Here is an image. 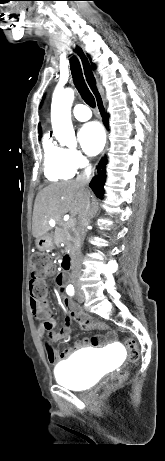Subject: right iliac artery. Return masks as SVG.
Returning <instances> with one entry per match:
<instances>
[{
    "label": "right iliac artery",
    "mask_w": 165,
    "mask_h": 461,
    "mask_svg": "<svg viewBox=\"0 0 165 461\" xmlns=\"http://www.w3.org/2000/svg\"><path fill=\"white\" fill-rule=\"evenodd\" d=\"M66 292L68 295H73L74 294V288L72 285H69L67 288H66Z\"/></svg>",
    "instance_id": "right-iliac-artery-1"
}]
</instances>
